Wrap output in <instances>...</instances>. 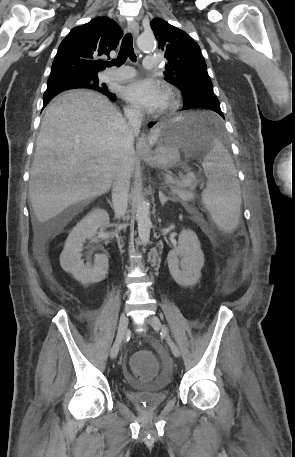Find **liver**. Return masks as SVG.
Here are the masks:
<instances>
[{"mask_svg":"<svg viewBox=\"0 0 295 457\" xmlns=\"http://www.w3.org/2000/svg\"><path fill=\"white\" fill-rule=\"evenodd\" d=\"M158 128L151 131L150 145ZM103 95L71 90L47 107L37 137L29 197L44 223L73 204L108 192L116 172L135 168L138 136Z\"/></svg>","mask_w":295,"mask_h":457,"instance_id":"1","label":"liver"}]
</instances>
